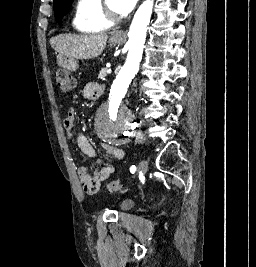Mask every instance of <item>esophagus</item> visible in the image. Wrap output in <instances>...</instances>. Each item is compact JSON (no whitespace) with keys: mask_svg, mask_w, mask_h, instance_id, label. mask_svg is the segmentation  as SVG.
<instances>
[{"mask_svg":"<svg viewBox=\"0 0 256 267\" xmlns=\"http://www.w3.org/2000/svg\"><path fill=\"white\" fill-rule=\"evenodd\" d=\"M118 35L121 36V37L122 36H125V34L123 32L122 33H119Z\"/></svg>","mask_w":256,"mask_h":267,"instance_id":"obj_1","label":"esophagus"}]
</instances>
